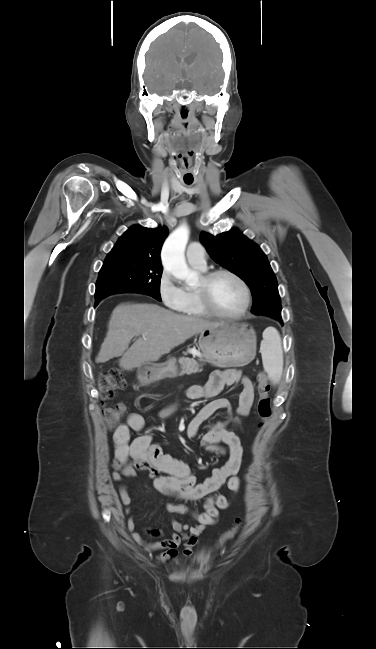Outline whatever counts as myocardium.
I'll use <instances>...</instances> for the list:
<instances>
[{
  "label": "myocardium",
  "instance_id": "obj_1",
  "mask_svg": "<svg viewBox=\"0 0 376 649\" xmlns=\"http://www.w3.org/2000/svg\"><path fill=\"white\" fill-rule=\"evenodd\" d=\"M220 275H228L234 278L241 288L243 289L244 292V304L242 308L237 312V313H225L221 310H219L217 307L214 306V304L211 301L210 298V287L213 282V280L220 276ZM197 294L199 297V300L203 306V308L211 315L222 318V319H227V320H238L244 317L250 307L251 303V290L247 282L236 272L226 269V268H221V269H216L212 270L209 272H206L202 275L200 278L199 284L196 287Z\"/></svg>",
  "mask_w": 376,
  "mask_h": 649
}]
</instances>
